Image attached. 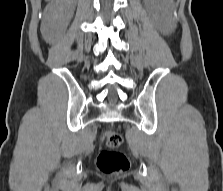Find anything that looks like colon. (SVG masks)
Listing matches in <instances>:
<instances>
[{
	"label": "colon",
	"mask_w": 223,
	"mask_h": 191,
	"mask_svg": "<svg viewBox=\"0 0 223 191\" xmlns=\"http://www.w3.org/2000/svg\"><path fill=\"white\" fill-rule=\"evenodd\" d=\"M106 147L103 148L97 157V167L105 174H118L126 172L130 163L127 156L118 148L122 144V136L113 131L105 134Z\"/></svg>",
	"instance_id": "colon-1"
}]
</instances>
